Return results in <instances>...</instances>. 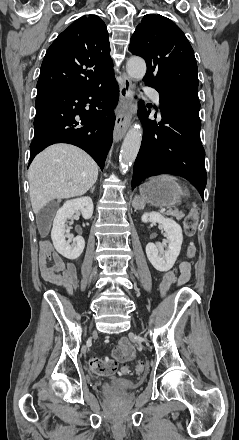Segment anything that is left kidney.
Masks as SVG:
<instances>
[{
  "label": "left kidney",
  "instance_id": "1",
  "mask_svg": "<svg viewBox=\"0 0 239 440\" xmlns=\"http://www.w3.org/2000/svg\"><path fill=\"white\" fill-rule=\"evenodd\" d=\"M142 222H151V224H162L167 238L168 248L163 250L164 246H155V244H147L146 254L149 262L158 272H169L173 268L181 250L183 236L182 228L176 224L171 218H164L158 212H150L143 214Z\"/></svg>",
  "mask_w": 239,
  "mask_h": 440
}]
</instances>
